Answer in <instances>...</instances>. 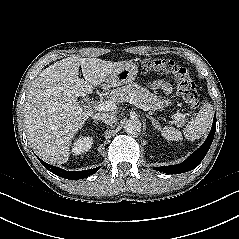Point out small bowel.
<instances>
[{"instance_id":"small-bowel-1","label":"small bowel","mask_w":239,"mask_h":239,"mask_svg":"<svg viewBox=\"0 0 239 239\" xmlns=\"http://www.w3.org/2000/svg\"><path fill=\"white\" fill-rule=\"evenodd\" d=\"M153 86L161 88L166 93H169L171 91V85L168 82H158L153 84Z\"/></svg>"}]
</instances>
